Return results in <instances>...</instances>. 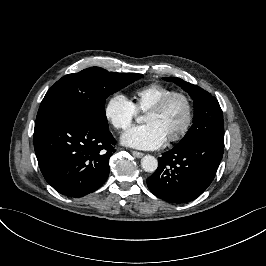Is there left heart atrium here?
Listing matches in <instances>:
<instances>
[{
	"instance_id": "39dd6f15",
	"label": "left heart atrium",
	"mask_w": 266,
	"mask_h": 266,
	"mask_svg": "<svg viewBox=\"0 0 266 266\" xmlns=\"http://www.w3.org/2000/svg\"><path fill=\"white\" fill-rule=\"evenodd\" d=\"M163 131L154 123L134 126L122 135V141L139 149H155L166 141Z\"/></svg>"
}]
</instances>
